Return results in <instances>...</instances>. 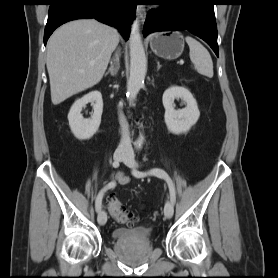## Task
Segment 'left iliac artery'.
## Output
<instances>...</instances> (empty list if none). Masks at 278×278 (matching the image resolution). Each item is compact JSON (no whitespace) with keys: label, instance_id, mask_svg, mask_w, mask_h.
I'll return each mask as SVG.
<instances>
[{"label":"left iliac artery","instance_id":"44dca946","mask_svg":"<svg viewBox=\"0 0 278 278\" xmlns=\"http://www.w3.org/2000/svg\"><path fill=\"white\" fill-rule=\"evenodd\" d=\"M133 175L136 177H144L147 175H154L159 178H163L168 184L171 201L173 203H175V201H176L175 185H174L172 179L170 178V176L164 170H162L160 168H153L147 172H141V171L134 170Z\"/></svg>","mask_w":278,"mask_h":278}]
</instances>
